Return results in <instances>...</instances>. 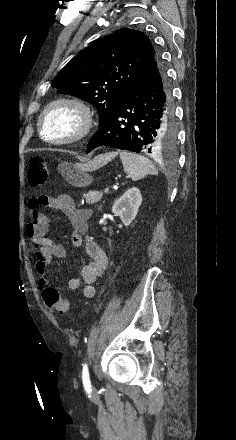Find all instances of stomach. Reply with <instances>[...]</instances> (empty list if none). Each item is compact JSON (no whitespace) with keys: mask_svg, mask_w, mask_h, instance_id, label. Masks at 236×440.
<instances>
[{"mask_svg":"<svg viewBox=\"0 0 236 440\" xmlns=\"http://www.w3.org/2000/svg\"><path fill=\"white\" fill-rule=\"evenodd\" d=\"M112 156H115V154H112ZM94 169L91 163L83 165L64 162L58 165L57 172L61 174L70 185L74 187H86L93 181L90 172Z\"/></svg>","mask_w":236,"mask_h":440,"instance_id":"1","label":"stomach"}]
</instances>
